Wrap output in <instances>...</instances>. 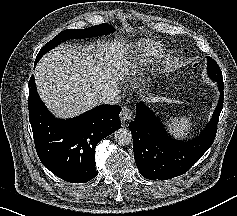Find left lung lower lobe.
<instances>
[{"instance_id":"left-lung-lower-lobe-1","label":"left lung lower lobe","mask_w":237,"mask_h":216,"mask_svg":"<svg viewBox=\"0 0 237 216\" xmlns=\"http://www.w3.org/2000/svg\"><path fill=\"white\" fill-rule=\"evenodd\" d=\"M223 87H219L220 98L212 120L191 141L172 139L144 103L137 105L136 117L129 124V130L133 137L135 162L143 177L149 180L171 179L186 173L203 156L215 139L223 107Z\"/></svg>"}]
</instances>
